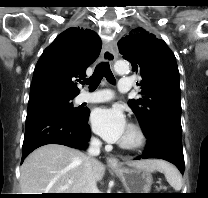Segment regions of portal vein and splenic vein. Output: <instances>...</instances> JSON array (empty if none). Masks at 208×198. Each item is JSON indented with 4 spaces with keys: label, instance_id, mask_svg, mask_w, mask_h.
<instances>
[{
    "label": "portal vein and splenic vein",
    "instance_id": "18ae733b",
    "mask_svg": "<svg viewBox=\"0 0 208 198\" xmlns=\"http://www.w3.org/2000/svg\"><path fill=\"white\" fill-rule=\"evenodd\" d=\"M71 183H72V182H71V181H69V182H68V185H69V184H71ZM61 189H65V187H62Z\"/></svg>",
    "mask_w": 208,
    "mask_h": 198
}]
</instances>
